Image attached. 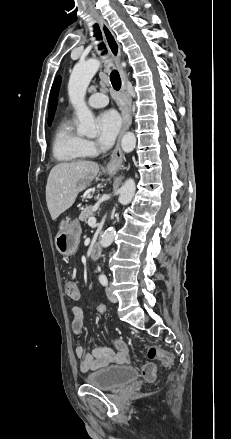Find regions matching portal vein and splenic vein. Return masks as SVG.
Returning <instances> with one entry per match:
<instances>
[{
	"label": "portal vein and splenic vein",
	"mask_w": 231,
	"mask_h": 439,
	"mask_svg": "<svg viewBox=\"0 0 231 439\" xmlns=\"http://www.w3.org/2000/svg\"><path fill=\"white\" fill-rule=\"evenodd\" d=\"M96 222H97V220H96L95 217H90V218L88 219V225H89V226H94V225L96 224Z\"/></svg>",
	"instance_id": "1"
}]
</instances>
